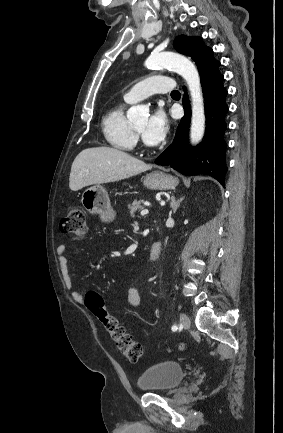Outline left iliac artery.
<instances>
[{"label": "left iliac artery", "instance_id": "44dca946", "mask_svg": "<svg viewBox=\"0 0 283 433\" xmlns=\"http://www.w3.org/2000/svg\"><path fill=\"white\" fill-rule=\"evenodd\" d=\"M175 329H177V327H176V326H173V327H172V330H175Z\"/></svg>", "mask_w": 283, "mask_h": 433}]
</instances>
